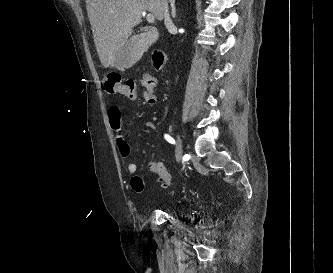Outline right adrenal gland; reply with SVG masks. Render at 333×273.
<instances>
[{"label":"right adrenal gland","instance_id":"2a0ac1e0","mask_svg":"<svg viewBox=\"0 0 333 273\" xmlns=\"http://www.w3.org/2000/svg\"><path fill=\"white\" fill-rule=\"evenodd\" d=\"M171 5V16L172 18L176 17V7H175V0H170Z\"/></svg>","mask_w":333,"mask_h":273}]
</instances>
